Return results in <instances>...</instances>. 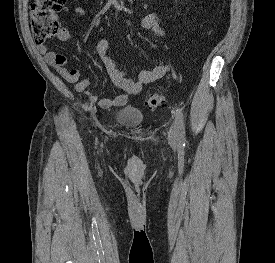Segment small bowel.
<instances>
[{"label":"small bowel","mask_w":275,"mask_h":263,"mask_svg":"<svg viewBox=\"0 0 275 263\" xmlns=\"http://www.w3.org/2000/svg\"><path fill=\"white\" fill-rule=\"evenodd\" d=\"M75 12L79 16L85 15V9L82 6L75 7ZM140 26L143 29L150 30L156 35L163 37L165 31L161 25L160 19L156 14H145L140 18ZM58 39L67 40L70 35L66 29H61L58 33ZM110 43L107 38H101L96 44V52L100 57L105 70L107 71L112 83L121 88L122 92L114 98H98L88 92V88L92 84L91 78L80 79L77 69L67 68V57L61 53L50 51L46 44L37 46L40 53L44 55L46 62L51 65L61 77L67 82L74 84L77 92L82 93L88 99L96 103L99 107L109 109L115 107H122L127 104L129 98L142 92L146 84L159 80L166 76L170 70L171 65L169 62L160 60L152 69L142 70L137 79H130L126 76L124 70L118 68L115 62L108 56Z\"/></svg>","instance_id":"c3829d8e"}]
</instances>
